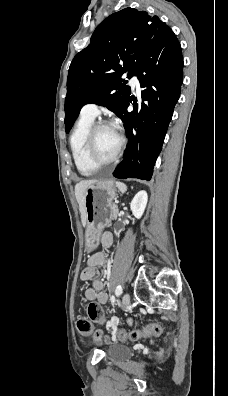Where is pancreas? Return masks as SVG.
I'll list each match as a JSON object with an SVG mask.
<instances>
[{"label":"pancreas","mask_w":228,"mask_h":396,"mask_svg":"<svg viewBox=\"0 0 228 396\" xmlns=\"http://www.w3.org/2000/svg\"><path fill=\"white\" fill-rule=\"evenodd\" d=\"M112 210H113V215L111 216V219H112V220H116V219H117L116 214H117V212H118V207H117V205L113 204ZM107 226H110V223H107Z\"/></svg>","instance_id":"obj_1"}]
</instances>
